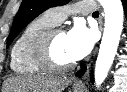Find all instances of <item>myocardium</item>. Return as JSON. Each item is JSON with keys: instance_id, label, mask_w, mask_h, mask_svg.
I'll return each mask as SVG.
<instances>
[{"instance_id": "1", "label": "myocardium", "mask_w": 127, "mask_h": 92, "mask_svg": "<svg viewBox=\"0 0 127 92\" xmlns=\"http://www.w3.org/2000/svg\"><path fill=\"white\" fill-rule=\"evenodd\" d=\"M65 32L62 27L54 26L43 31L34 45L36 61L46 70L52 72H66L75 66V61L60 63L54 57L53 43L57 34Z\"/></svg>"}]
</instances>
